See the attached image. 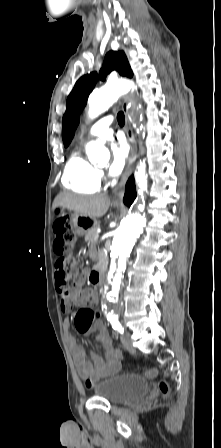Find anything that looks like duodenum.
I'll use <instances>...</instances> for the list:
<instances>
[{
	"label": "duodenum",
	"mask_w": 221,
	"mask_h": 448,
	"mask_svg": "<svg viewBox=\"0 0 221 448\" xmlns=\"http://www.w3.org/2000/svg\"><path fill=\"white\" fill-rule=\"evenodd\" d=\"M90 281L96 285L100 286L102 284V269H95L89 275Z\"/></svg>",
	"instance_id": "obj_1"
}]
</instances>
